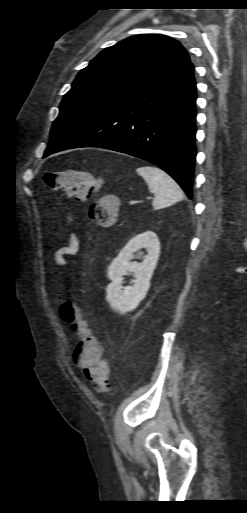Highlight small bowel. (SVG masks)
<instances>
[{
    "instance_id": "obj_1",
    "label": "small bowel",
    "mask_w": 247,
    "mask_h": 513,
    "mask_svg": "<svg viewBox=\"0 0 247 513\" xmlns=\"http://www.w3.org/2000/svg\"><path fill=\"white\" fill-rule=\"evenodd\" d=\"M78 251L79 241L75 235H71L66 245L55 250L53 260L57 266L65 267L67 265V259L76 255ZM72 363H74V361H72Z\"/></svg>"
}]
</instances>
